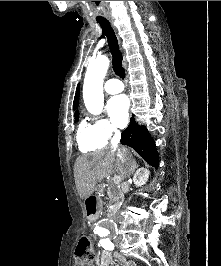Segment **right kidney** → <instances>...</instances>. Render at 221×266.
<instances>
[{
    "mask_svg": "<svg viewBox=\"0 0 221 266\" xmlns=\"http://www.w3.org/2000/svg\"><path fill=\"white\" fill-rule=\"evenodd\" d=\"M149 174H150V172L146 168L142 167V168L138 169L136 171V173L134 174V177H133L134 184L137 187L144 185L148 181Z\"/></svg>",
    "mask_w": 221,
    "mask_h": 266,
    "instance_id": "obj_1",
    "label": "right kidney"
}]
</instances>
